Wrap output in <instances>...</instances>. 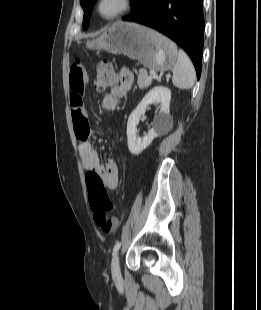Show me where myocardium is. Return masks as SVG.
<instances>
[{
    "instance_id": "obj_1",
    "label": "myocardium",
    "mask_w": 261,
    "mask_h": 310,
    "mask_svg": "<svg viewBox=\"0 0 261 310\" xmlns=\"http://www.w3.org/2000/svg\"><path fill=\"white\" fill-rule=\"evenodd\" d=\"M105 2V0H97L95 5V10L98 16L106 21H112L115 20L122 15L126 14L133 5V0H118V8L111 14H105L102 12V4Z\"/></svg>"
}]
</instances>
